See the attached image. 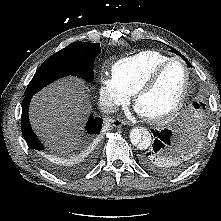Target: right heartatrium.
Masks as SVG:
<instances>
[{"label": "right heart atrium", "mask_w": 221, "mask_h": 221, "mask_svg": "<svg viewBox=\"0 0 221 221\" xmlns=\"http://www.w3.org/2000/svg\"><path fill=\"white\" fill-rule=\"evenodd\" d=\"M99 97L102 105L109 111L128 103L130 95L113 76L102 74L99 82Z\"/></svg>", "instance_id": "1"}]
</instances>
